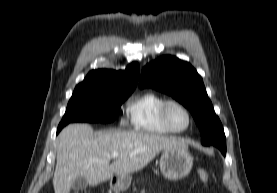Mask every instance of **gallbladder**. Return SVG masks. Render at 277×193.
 Masks as SVG:
<instances>
[{
    "label": "gallbladder",
    "instance_id": "obj_1",
    "mask_svg": "<svg viewBox=\"0 0 277 193\" xmlns=\"http://www.w3.org/2000/svg\"><path fill=\"white\" fill-rule=\"evenodd\" d=\"M87 186H88V182L82 176L75 178L72 183V189L77 191L85 190Z\"/></svg>",
    "mask_w": 277,
    "mask_h": 193
}]
</instances>
